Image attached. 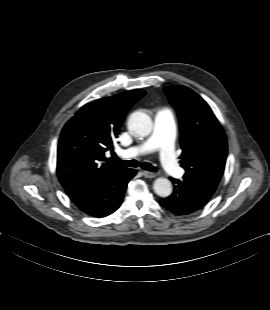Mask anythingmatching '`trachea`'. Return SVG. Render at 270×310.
I'll use <instances>...</instances> for the list:
<instances>
[{
  "mask_svg": "<svg viewBox=\"0 0 270 310\" xmlns=\"http://www.w3.org/2000/svg\"><path fill=\"white\" fill-rule=\"evenodd\" d=\"M114 160L117 161L120 164H123L125 166H129V167H138V162L136 160H121L118 157L114 156ZM141 168L147 171H151V172H155L157 171V169L149 164V163H143L141 165Z\"/></svg>",
  "mask_w": 270,
  "mask_h": 310,
  "instance_id": "3493384b",
  "label": "trachea"
}]
</instances>
